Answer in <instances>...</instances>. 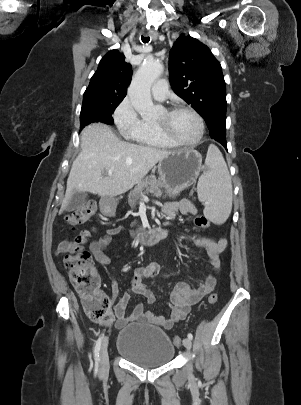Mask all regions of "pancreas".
<instances>
[{"label": "pancreas", "mask_w": 301, "mask_h": 405, "mask_svg": "<svg viewBox=\"0 0 301 405\" xmlns=\"http://www.w3.org/2000/svg\"><path fill=\"white\" fill-rule=\"evenodd\" d=\"M162 187L163 185L161 181L157 180L154 176L142 180L135 186V188L128 195V202L130 206L135 207L138 203L139 198L143 194L151 193L156 197H161ZM133 225H135V223H133L132 226ZM142 230L143 228L141 226H138L136 230L131 231V235L139 234L142 232Z\"/></svg>", "instance_id": "obj_1"}]
</instances>
